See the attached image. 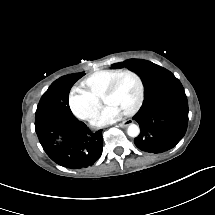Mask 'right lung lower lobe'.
<instances>
[{
  "label": "right lung lower lobe",
  "instance_id": "1",
  "mask_svg": "<svg viewBox=\"0 0 215 215\" xmlns=\"http://www.w3.org/2000/svg\"><path fill=\"white\" fill-rule=\"evenodd\" d=\"M35 129L46 154L63 167L87 168L102 154V130L91 132L78 119L38 123Z\"/></svg>",
  "mask_w": 215,
  "mask_h": 215
}]
</instances>
